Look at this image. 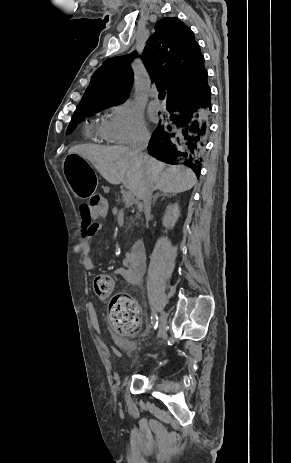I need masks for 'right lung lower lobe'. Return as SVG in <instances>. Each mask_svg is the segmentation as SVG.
<instances>
[{
    "label": "right lung lower lobe",
    "mask_w": 291,
    "mask_h": 463,
    "mask_svg": "<svg viewBox=\"0 0 291 463\" xmlns=\"http://www.w3.org/2000/svg\"><path fill=\"white\" fill-rule=\"evenodd\" d=\"M203 81L198 95L178 96L167 101L172 124L165 128L159 125L148 144L150 155L169 164L190 167L197 177L201 171L211 110L207 73Z\"/></svg>",
    "instance_id": "right-lung-lower-lobe-1"
}]
</instances>
